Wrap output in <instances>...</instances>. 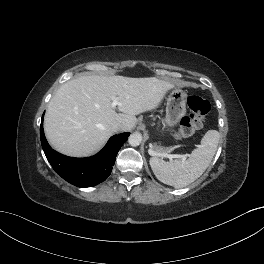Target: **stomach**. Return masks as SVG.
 <instances>
[{
    "label": "stomach",
    "mask_w": 264,
    "mask_h": 264,
    "mask_svg": "<svg viewBox=\"0 0 264 264\" xmlns=\"http://www.w3.org/2000/svg\"><path fill=\"white\" fill-rule=\"evenodd\" d=\"M187 94L180 88H174L167 98L164 127H173L186 113Z\"/></svg>",
    "instance_id": "1"
}]
</instances>
